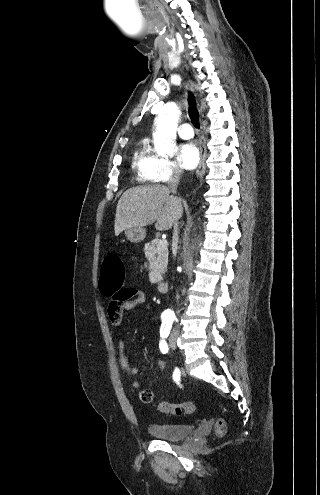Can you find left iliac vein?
<instances>
[{
    "label": "left iliac vein",
    "instance_id": "1",
    "mask_svg": "<svg viewBox=\"0 0 320 495\" xmlns=\"http://www.w3.org/2000/svg\"><path fill=\"white\" fill-rule=\"evenodd\" d=\"M176 338H177V335L175 333H172L170 338H169V345L173 350L176 349Z\"/></svg>",
    "mask_w": 320,
    "mask_h": 495
}]
</instances>
